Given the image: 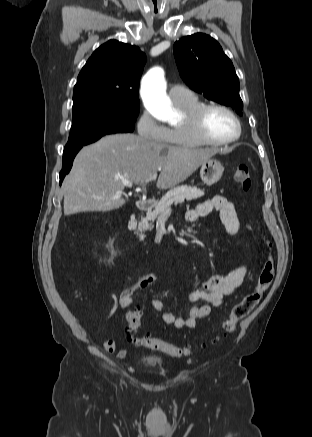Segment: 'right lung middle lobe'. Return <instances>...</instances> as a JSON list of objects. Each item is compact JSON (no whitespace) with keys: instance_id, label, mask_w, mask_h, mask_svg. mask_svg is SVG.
<instances>
[{"instance_id":"right-lung-middle-lobe-1","label":"right lung middle lobe","mask_w":312,"mask_h":437,"mask_svg":"<svg viewBox=\"0 0 312 437\" xmlns=\"http://www.w3.org/2000/svg\"><path fill=\"white\" fill-rule=\"evenodd\" d=\"M138 113V103H91L73 107V124L64 154L80 150L106 134L132 132Z\"/></svg>"}]
</instances>
